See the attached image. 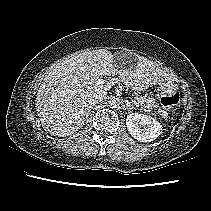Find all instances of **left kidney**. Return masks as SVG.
I'll return each instance as SVG.
<instances>
[{
  "label": "left kidney",
  "mask_w": 211,
  "mask_h": 211,
  "mask_svg": "<svg viewBox=\"0 0 211 211\" xmlns=\"http://www.w3.org/2000/svg\"><path fill=\"white\" fill-rule=\"evenodd\" d=\"M127 130L141 142H151L162 133V125L153 117L131 113L126 118Z\"/></svg>",
  "instance_id": "5707ae66"
}]
</instances>
